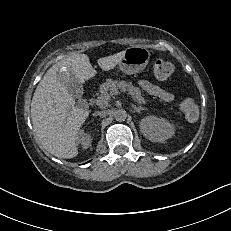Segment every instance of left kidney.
Masks as SVG:
<instances>
[{"label": "left kidney", "mask_w": 231, "mask_h": 231, "mask_svg": "<svg viewBox=\"0 0 231 231\" xmlns=\"http://www.w3.org/2000/svg\"><path fill=\"white\" fill-rule=\"evenodd\" d=\"M140 130L143 135L152 142L163 143L175 134L173 124L165 118L147 116L140 122Z\"/></svg>", "instance_id": "left-kidney-1"}]
</instances>
